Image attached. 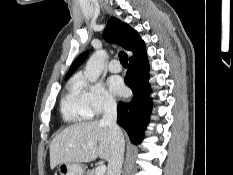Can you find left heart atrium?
<instances>
[{"label": "left heart atrium", "mask_w": 233, "mask_h": 175, "mask_svg": "<svg viewBox=\"0 0 233 175\" xmlns=\"http://www.w3.org/2000/svg\"><path fill=\"white\" fill-rule=\"evenodd\" d=\"M109 86L111 91L118 96L122 97L126 94V87L118 78H111L109 81Z\"/></svg>", "instance_id": "1"}]
</instances>
